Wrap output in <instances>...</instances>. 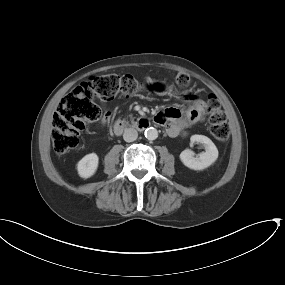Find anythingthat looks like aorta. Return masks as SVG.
<instances>
[{
  "label": "aorta",
  "instance_id": "762f6f07",
  "mask_svg": "<svg viewBox=\"0 0 285 285\" xmlns=\"http://www.w3.org/2000/svg\"><path fill=\"white\" fill-rule=\"evenodd\" d=\"M144 135L148 140H155L158 137V131L154 127H149L145 130Z\"/></svg>",
  "mask_w": 285,
  "mask_h": 285
}]
</instances>
